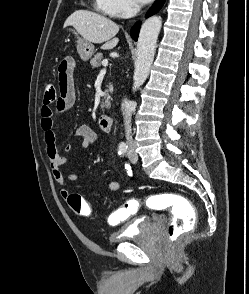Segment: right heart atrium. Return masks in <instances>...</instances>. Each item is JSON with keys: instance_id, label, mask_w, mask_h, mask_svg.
I'll use <instances>...</instances> for the list:
<instances>
[{"instance_id": "obj_1", "label": "right heart atrium", "mask_w": 249, "mask_h": 294, "mask_svg": "<svg viewBox=\"0 0 249 294\" xmlns=\"http://www.w3.org/2000/svg\"><path fill=\"white\" fill-rule=\"evenodd\" d=\"M111 9L112 16L125 17L128 16L133 9L135 4L133 0H108Z\"/></svg>"}]
</instances>
